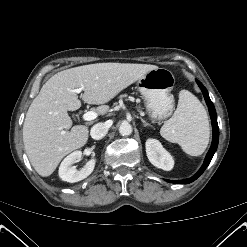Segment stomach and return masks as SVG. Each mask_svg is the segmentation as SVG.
Returning <instances> with one entry per match:
<instances>
[{
    "instance_id": "1",
    "label": "stomach",
    "mask_w": 247,
    "mask_h": 247,
    "mask_svg": "<svg viewBox=\"0 0 247 247\" xmlns=\"http://www.w3.org/2000/svg\"><path fill=\"white\" fill-rule=\"evenodd\" d=\"M174 83L173 73L165 68L150 70L138 80L137 88L153 121L160 122L171 116L174 110V97L171 94Z\"/></svg>"
}]
</instances>
